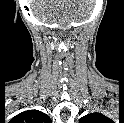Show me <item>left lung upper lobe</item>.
<instances>
[{"mask_svg":"<svg viewBox=\"0 0 124 123\" xmlns=\"http://www.w3.org/2000/svg\"><path fill=\"white\" fill-rule=\"evenodd\" d=\"M107 117L100 113H90L83 116L79 123H106Z\"/></svg>","mask_w":124,"mask_h":123,"instance_id":"1","label":"left lung upper lobe"}]
</instances>
